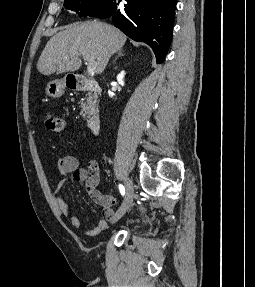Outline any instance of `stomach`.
Here are the masks:
<instances>
[{
	"mask_svg": "<svg viewBox=\"0 0 255 287\" xmlns=\"http://www.w3.org/2000/svg\"><path fill=\"white\" fill-rule=\"evenodd\" d=\"M65 88V80H53V82L47 84L46 94L47 96H50V98H60V96L64 94Z\"/></svg>",
	"mask_w": 255,
	"mask_h": 287,
	"instance_id": "0dacf381",
	"label": "stomach"
}]
</instances>
